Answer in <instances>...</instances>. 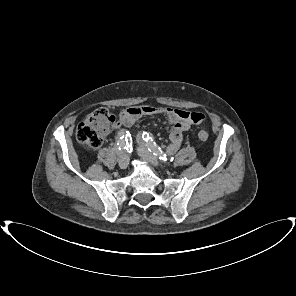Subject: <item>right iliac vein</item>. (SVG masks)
<instances>
[{
    "mask_svg": "<svg viewBox=\"0 0 296 296\" xmlns=\"http://www.w3.org/2000/svg\"><path fill=\"white\" fill-rule=\"evenodd\" d=\"M119 167L121 169H126L129 164V157L127 154H122L118 160Z\"/></svg>",
    "mask_w": 296,
    "mask_h": 296,
    "instance_id": "obj_1",
    "label": "right iliac vein"
}]
</instances>
